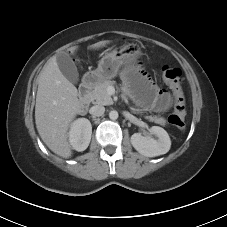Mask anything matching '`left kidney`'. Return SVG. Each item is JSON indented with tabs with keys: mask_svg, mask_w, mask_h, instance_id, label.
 Here are the masks:
<instances>
[{
	"mask_svg": "<svg viewBox=\"0 0 227 227\" xmlns=\"http://www.w3.org/2000/svg\"><path fill=\"white\" fill-rule=\"evenodd\" d=\"M150 133L157 136L158 139L142 136L135 133L131 136L132 146L142 155L147 157H155L166 154L171 147V140L168 133L159 126L150 128Z\"/></svg>",
	"mask_w": 227,
	"mask_h": 227,
	"instance_id": "left-kidney-1",
	"label": "left kidney"
}]
</instances>
